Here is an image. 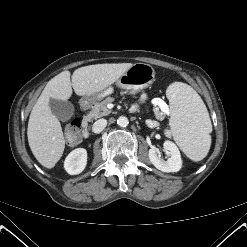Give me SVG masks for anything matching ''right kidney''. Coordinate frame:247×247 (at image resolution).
Here are the masks:
<instances>
[{"mask_svg": "<svg viewBox=\"0 0 247 247\" xmlns=\"http://www.w3.org/2000/svg\"><path fill=\"white\" fill-rule=\"evenodd\" d=\"M87 165V151L77 148L71 151L64 161V168L70 175L80 174Z\"/></svg>", "mask_w": 247, "mask_h": 247, "instance_id": "right-kidney-1", "label": "right kidney"}]
</instances>
